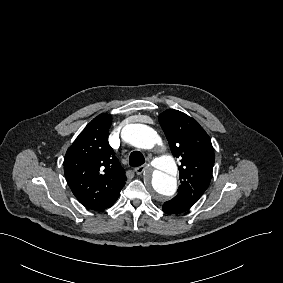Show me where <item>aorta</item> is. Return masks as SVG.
I'll return each mask as SVG.
<instances>
[{
  "mask_svg": "<svg viewBox=\"0 0 283 283\" xmlns=\"http://www.w3.org/2000/svg\"><path fill=\"white\" fill-rule=\"evenodd\" d=\"M122 135L125 141L141 149H152L161 144V138L151 127L144 124L127 125ZM156 169L148 180L155 192L162 196H173L177 189V179L174 176L177 167L171 155H163L154 161Z\"/></svg>",
  "mask_w": 283,
  "mask_h": 283,
  "instance_id": "1",
  "label": "aorta"
}]
</instances>
